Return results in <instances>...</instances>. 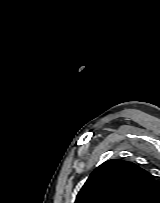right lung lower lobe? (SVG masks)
Wrapping results in <instances>:
<instances>
[{"mask_svg": "<svg viewBox=\"0 0 160 203\" xmlns=\"http://www.w3.org/2000/svg\"><path fill=\"white\" fill-rule=\"evenodd\" d=\"M153 203H160V194H159V196L156 198V201L153 202Z\"/></svg>", "mask_w": 160, "mask_h": 203, "instance_id": "1", "label": "right lung lower lobe"}]
</instances>
